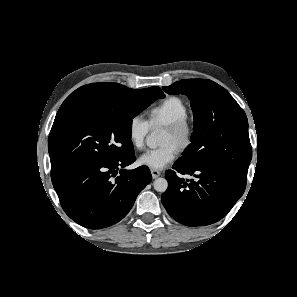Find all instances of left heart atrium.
<instances>
[{"label":"left heart atrium","instance_id":"1","mask_svg":"<svg viewBox=\"0 0 297 297\" xmlns=\"http://www.w3.org/2000/svg\"><path fill=\"white\" fill-rule=\"evenodd\" d=\"M178 154V146L170 142L147 151L140 157L139 161L144 166L160 170L170 165L177 158Z\"/></svg>","mask_w":297,"mask_h":297}]
</instances>
